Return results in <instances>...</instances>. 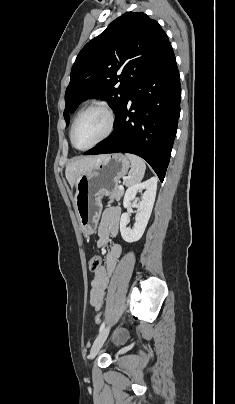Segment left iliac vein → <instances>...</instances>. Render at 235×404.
Here are the masks:
<instances>
[{
	"label": "left iliac vein",
	"mask_w": 235,
	"mask_h": 404,
	"mask_svg": "<svg viewBox=\"0 0 235 404\" xmlns=\"http://www.w3.org/2000/svg\"><path fill=\"white\" fill-rule=\"evenodd\" d=\"M110 326H107L106 328H104L100 334L97 336V338L95 339L92 348H91V352H90V358L93 359L97 353L99 352V350L101 349V347L103 346L104 342L106 341L108 334L110 332Z\"/></svg>",
	"instance_id": "left-iliac-vein-1"
}]
</instances>
